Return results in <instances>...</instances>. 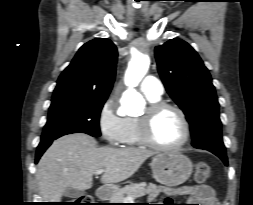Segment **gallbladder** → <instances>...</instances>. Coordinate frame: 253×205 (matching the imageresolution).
I'll return each mask as SVG.
<instances>
[{"label":"gallbladder","mask_w":253,"mask_h":205,"mask_svg":"<svg viewBox=\"0 0 253 205\" xmlns=\"http://www.w3.org/2000/svg\"><path fill=\"white\" fill-rule=\"evenodd\" d=\"M83 195H84V191L77 190V189L71 188V187L67 188L64 193V196L68 197V198H79Z\"/></svg>","instance_id":"1"}]
</instances>
